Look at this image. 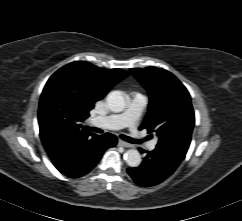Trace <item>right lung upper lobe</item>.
I'll return each mask as SVG.
<instances>
[{"instance_id": "right-lung-upper-lobe-1", "label": "right lung upper lobe", "mask_w": 242, "mask_h": 221, "mask_svg": "<svg viewBox=\"0 0 242 221\" xmlns=\"http://www.w3.org/2000/svg\"><path fill=\"white\" fill-rule=\"evenodd\" d=\"M128 73L102 69L85 61L69 63L47 81L40 98L38 121L40 137L50 157L63 152L77 138L91 135L81 125L108 90Z\"/></svg>"}]
</instances>
